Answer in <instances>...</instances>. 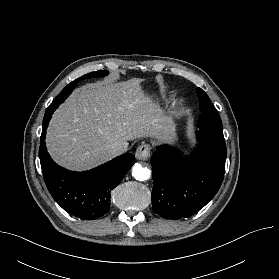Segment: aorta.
Masks as SVG:
<instances>
[{
    "label": "aorta",
    "instance_id": "aorta-1",
    "mask_svg": "<svg viewBox=\"0 0 279 279\" xmlns=\"http://www.w3.org/2000/svg\"><path fill=\"white\" fill-rule=\"evenodd\" d=\"M132 176L139 181H145L150 178L149 169L142 167L140 164H135L132 168Z\"/></svg>",
    "mask_w": 279,
    "mask_h": 279
}]
</instances>
